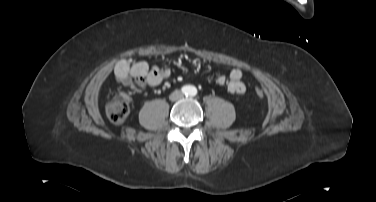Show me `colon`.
<instances>
[{"instance_id":"colon-1","label":"colon","mask_w":376,"mask_h":202,"mask_svg":"<svg viewBox=\"0 0 376 202\" xmlns=\"http://www.w3.org/2000/svg\"><path fill=\"white\" fill-rule=\"evenodd\" d=\"M256 95L258 97L264 96V91L261 88L256 89ZM131 102V97L124 92H121L114 96L106 106V114L108 119L114 125L122 124L128 114H129V106Z\"/></svg>"}]
</instances>
